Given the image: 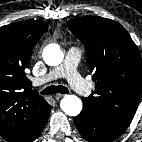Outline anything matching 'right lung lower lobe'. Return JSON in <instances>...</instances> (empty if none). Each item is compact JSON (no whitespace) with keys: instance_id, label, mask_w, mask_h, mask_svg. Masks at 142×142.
I'll return each mask as SVG.
<instances>
[{"instance_id":"98d812e1","label":"right lung lower lobe","mask_w":142,"mask_h":142,"mask_svg":"<svg viewBox=\"0 0 142 142\" xmlns=\"http://www.w3.org/2000/svg\"><path fill=\"white\" fill-rule=\"evenodd\" d=\"M51 109V107H50ZM50 109H49V112L47 114V116L45 117V119L42 121V123L40 124V126L38 127L37 131L35 132V134L28 140V142H32L34 141L35 139H37L39 137V135L41 134L43 128L45 127L46 125V122L48 120V117H49V113H50Z\"/></svg>"}]
</instances>
